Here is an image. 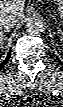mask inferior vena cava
I'll list each match as a JSON object with an SVG mask.
<instances>
[{
    "instance_id": "602c4592",
    "label": "inferior vena cava",
    "mask_w": 63,
    "mask_h": 107,
    "mask_svg": "<svg viewBox=\"0 0 63 107\" xmlns=\"http://www.w3.org/2000/svg\"><path fill=\"white\" fill-rule=\"evenodd\" d=\"M16 15L1 13L0 15V29L4 31L10 30L17 22Z\"/></svg>"
}]
</instances>
